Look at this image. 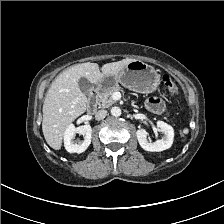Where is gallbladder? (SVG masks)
I'll list each match as a JSON object with an SVG mask.
<instances>
[{
	"mask_svg": "<svg viewBox=\"0 0 224 224\" xmlns=\"http://www.w3.org/2000/svg\"><path fill=\"white\" fill-rule=\"evenodd\" d=\"M78 85H79V88L80 90L86 95V96H89L90 95V91H91V88H92V84L91 82L85 78V77H81L79 80H78Z\"/></svg>",
	"mask_w": 224,
	"mask_h": 224,
	"instance_id": "1",
	"label": "gallbladder"
}]
</instances>
